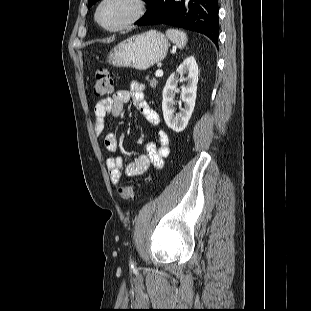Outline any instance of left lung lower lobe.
<instances>
[{
	"label": "left lung lower lobe",
	"instance_id": "0a47b994",
	"mask_svg": "<svg viewBox=\"0 0 311 311\" xmlns=\"http://www.w3.org/2000/svg\"><path fill=\"white\" fill-rule=\"evenodd\" d=\"M138 26L168 24L202 33L216 45L219 36L218 0H148Z\"/></svg>",
	"mask_w": 311,
	"mask_h": 311
}]
</instances>
